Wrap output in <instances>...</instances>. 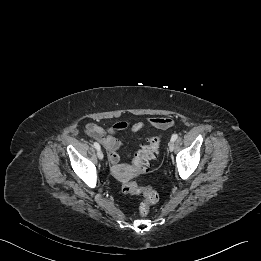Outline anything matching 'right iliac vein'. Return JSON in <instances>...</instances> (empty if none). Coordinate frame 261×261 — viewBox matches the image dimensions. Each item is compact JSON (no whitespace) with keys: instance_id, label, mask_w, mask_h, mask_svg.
<instances>
[{"instance_id":"right-iliac-vein-1","label":"right iliac vein","mask_w":261,"mask_h":261,"mask_svg":"<svg viewBox=\"0 0 261 261\" xmlns=\"http://www.w3.org/2000/svg\"><path fill=\"white\" fill-rule=\"evenodd\" d=\"M97 156H98V158H99L100 160H102L103 157H104L103 152H102L101 150H98V151H97Z\"/></svg>"}]
</instances>
